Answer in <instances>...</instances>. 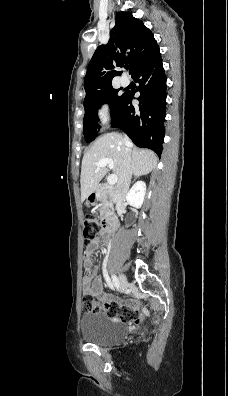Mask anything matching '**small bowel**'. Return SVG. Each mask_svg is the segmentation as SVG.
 Returning <instances> with one entry per match:
<instances>
[{
  "label": "small bowel",
  "mask_w": 228,
  "mask_h": 396,
  "mask_svg": "<svg viewBox=\"0 0 228 396\" xmlns=\"http://www.w3.org/2000/svg\"><path fill=\"white\" fill-rule=\"evenodd\" d=\"M107 239L108 236L103 231H98L96 236L89 243L84 253L83 259V265L86 271L82 279L83 293L94 295L102 301H108L111 297L104 291V283L102 277L96 275L97 269L93 264L91 255L93 251H95L101 245H105L107 243ZM127 303L133 308L138 307L137 301L130 300ZM136 321H138V319Z\"/></svg>",
  "instance_id": "1"
}]
</instances>
